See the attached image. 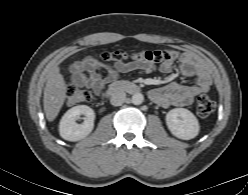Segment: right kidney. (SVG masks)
<instances>
[{"mask_svg": "<svg viewBox=\"0 0 248 195\" xmlns=\"http://www.w3.org/2000/svg\"><path fill=\"white\" fill-rule=\"evenodd\" d=\"M83 115L84 122L78 124L76 119ZM95 113L86 105L69 109L60 120V136L68 141H79L87 137L94 128Z\"/></svg>", "mask_w": 248, "mask_h": 195, "instance_id": "1", "label": "right kidney"}]
</instances>
